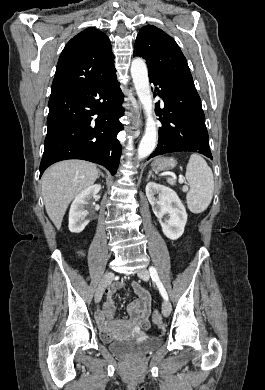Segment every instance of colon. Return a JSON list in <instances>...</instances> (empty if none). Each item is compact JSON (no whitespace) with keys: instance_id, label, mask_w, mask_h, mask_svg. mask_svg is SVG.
I'll return each instance as SVG.
<instances>
[{"instance_id":"5ec220e1","label":"colon","mask_w":265,"mask_h":390,"mask_svg":"<svg viewBox=\"0 0 265 390\" xmlns=\"http://www.w3.org/2000/svg\"><path fill=\"white\" fill-rule=\"evenodd\" d=\"M152 319L155 325L160 326L162 324V318L158 311H154L152 314Z\"/></svg>"}]
</instances>
